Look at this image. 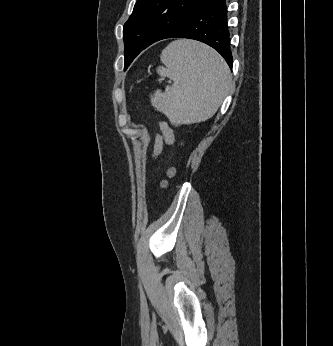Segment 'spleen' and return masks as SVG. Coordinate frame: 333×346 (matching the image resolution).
<instances>
[{"instance_id":"obj_1","label":"spleen","mask_w":333,"mask_h":346,"mask_svg":"<svg viewBox=\"0 0 333 346\" xmlns=\"http://www.w3.org/2000/svg\"><path fill=\"white\" fill-rule=\"evenodd\" d=\"M165 67L157 73L173 80L165 92L157 90L151 103L172 121L199 123L212 117L231 88L225 60L211 47L191 40H176L161 53Z\"/></svg>"}]
</instances>
